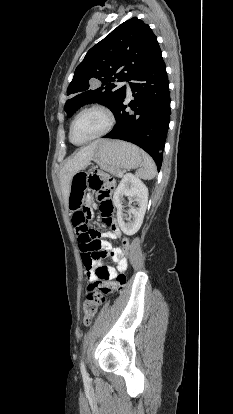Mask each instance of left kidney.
Instances as JSON below:
<instances>
[{
	"label": "left kidney",
	"mask_w": 233,
	"mask_h": 414,
	"mask_svg": "<svg viewBox=\"0 0 233 414\" xmlns=\"http://www.w3.org/2000/svg\"><path fill=\"white\" fill-rule=\"evenodd\" d=\"M123 196L129 197V205L135 199L138 207H131L132 221L125 222L123 217ZM148 202V188L135 175L127 173L114 192L113 203L117 208V220L122 232L128 236L134 235L141 227Z\"/></svg>",
	"instance_id": "left-kidney-1"
}]
</instances>
